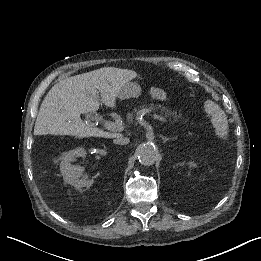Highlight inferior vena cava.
<instances>
[{
	"instance_id": "1",
	"label": "inferior vena cava",
	"mask_w": 261,
	"mask_h": 261,
	"mask_svg": "<svg viewBox=\"0 0 261 261\" xmlns=\"http://www.w3.org/2000/svg\"><path fill=\"white\" fill-rule=\"evenodd\" d=\"M115 141L118 144H128L129 143V138L125 137L124 134L120 133L118 136H116Z\"/></svg>"
}]
</instances>
